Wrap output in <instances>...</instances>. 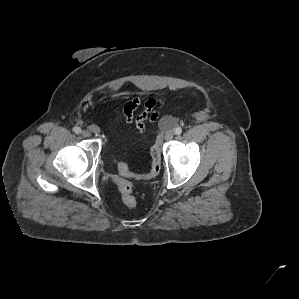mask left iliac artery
Returning <instances> with one entry per match:
<instances>
[{"instance_id":"1","label":"left iliac artery","mask_w":299,"mask_h":299,"mask_svg":"<svg viewBox=\"0 0 299 299\" xmlns=\"http://www.w3.org/2000/svg\"><path fill=\"white\" fill-rule=\"evenodd\" d=\"M174 131H175L176 135H180L182 133V128L181 127H176Z\"/></svg>"}]
</instances>
